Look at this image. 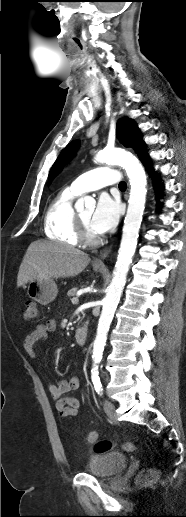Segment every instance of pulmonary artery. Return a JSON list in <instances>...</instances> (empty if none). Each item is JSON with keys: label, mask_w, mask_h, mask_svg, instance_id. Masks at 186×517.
I'll return each mask as SVG.
<instances>
[{"label": "pulmonary artery", "mask_w": 186, "mask_h": 517, "mask_svg": "<svg viewBox=\"0 0 186 517\" xmlns=\"http://www.w3.org/2000/svg\"><path fill=\"white\" fill-rule=\"evenodd\" d=\"M119 182L120 175L116 169L101 167L80 175L71 183L70 187L77 193H85Z\"/></svg>", "instance_id": "e3ab8cb5"}]
</instances>
